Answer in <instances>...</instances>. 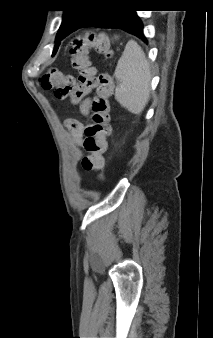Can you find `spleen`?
<instances>
[{
  "mask_svg": "<svg viewBox=\"0 0 213 338\" xmlns=\"http://www.w3.org/2000/svg\"><path fill=\"white\" fill-rule=\"evenodd\" d=\"M115 78V99L133 114H140L150 98L151 71L142 48L130 40L120 57Z\"/></svg>",
  "mask_w": 213,
  "mask_h": 338,
  "instance_id": "3e777b00",
  "label": "spleen"
}]
</instances>
